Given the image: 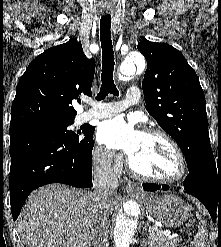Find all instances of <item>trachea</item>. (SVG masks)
<instances>
[{"mask_svg":"<svg viewBox=\"0 0 221 247\" xmlns=\"http://www.w3.org/2000/svg\"><path fill=\"white\" fill-rule=\"evenodd\" d=\"M111 16H102L100 20V41L102 47V74L101 88L96 99L103 100L109 93L118 96L119 91L113 80L114 71V52L111 40Z\"/></svg>","mask_w":221,"mask_h":247,"instance_id":"obj_1","label":"trachea"}]
</instances>
